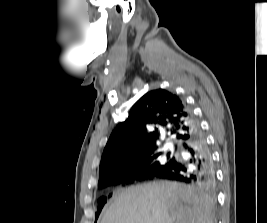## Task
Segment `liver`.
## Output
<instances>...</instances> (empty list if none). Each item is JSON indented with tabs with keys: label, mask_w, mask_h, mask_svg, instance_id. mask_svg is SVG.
<instances>
[{
	"label": "liver",
	"mask_w": 267,
	"mask_h": 223,
	"mask_svg": "<svg viewBox=\"0 0 267 223\" xmlns=\"http://www.w3.org/2000/svg\"><path fill=\"white\" fill-rule=\"evenodd\" d=\"M213 199L193 186L159 181L131 186L100 223H214Z\"/></svg>",
	"instance_id": "6515ba94"
}]
</instances>
